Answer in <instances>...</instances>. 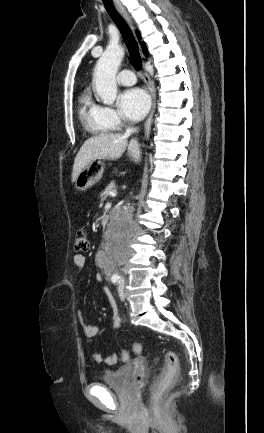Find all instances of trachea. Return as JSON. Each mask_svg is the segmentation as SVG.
I'll return each instance as SVG.
<instances>
[{
    "instance_id": "obj_1",
    "label": "trachea",
    "mask_w": 264,
    "mask_h": 433,
    "mask_svg": "<svg viewBox=\"0 0 264 433\" xmlns=\"http://www.w3.org/2000/svg\"><path fill=\"white\" fill-rule=\"evenodd\" d=\"M104 3V6L106 8V11L108 12L109 16L112 18L118 29L120 30L126 46L128 48V52L130 55V62L132 66L140 70L142 66V60L141 56L138 50L137 43L134 39V36L131 32V29L127 25L124 18L118 13V11L115 9L112 0H102Z\"/></svg>"
}]
</instances>
